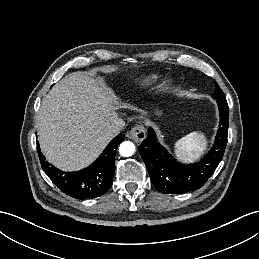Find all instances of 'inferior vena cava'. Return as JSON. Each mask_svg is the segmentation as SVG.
<instances>
[{
	"mask_svg": "<svg viewBox=\"0 0 259 259\" xmlns=\"http://www.w3.org/2000/svg\"><path fill=\"white\" fill-rule=\"evenodd\" d=\"M124 126V121L122 119H117L113 123L110 124L109 130L113 134H118Z\"/></svg>",
	"mask_w": 259,
	"mask_h": 259,
	"instance_id": "1",
	"label": "inferior vena cava"
}]
</instances>
